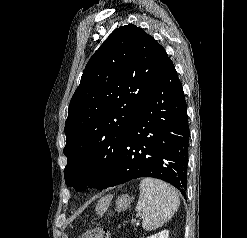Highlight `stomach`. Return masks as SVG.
<instances>
[{
    "label": "stomach",
    "instance_id": "obj_1",
    "mask_svg": "<svg viewBox=\"0 0 247 238\" xmlns=\"http://www.w3.org/2000/svg\"><path fill=\"white\" fill-rule=\"evenodd\" d=\"M131 197L128 194H123L116 200L117 211L126 210L131 204Z\"/></svg>",
    "mask_w": 247,
    "mask_h": 238
}]
</instances>
